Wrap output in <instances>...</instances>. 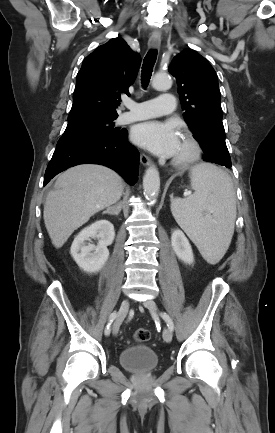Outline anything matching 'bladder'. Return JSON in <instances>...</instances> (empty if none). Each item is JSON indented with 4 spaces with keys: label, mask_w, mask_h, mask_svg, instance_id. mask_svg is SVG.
Instances as JSON below:
<instances>
[{
    "label": "bladder",
    "mask_w": 275,
    "mask_h": 433,
    "mask_svg": "<svg viewBox=\"0 0 275 433\" xmlns=\"http://www.w3.org/2000/svg\"><path fill=\"white\" fill-rule=\"evenodd\" d=\"M122 368L133 373L153 371L158 367L159 358L148 345L136 344L124 348L118 356Z\"/></svg>",
    "instance_id": "obj_1"
}]
</instances>
